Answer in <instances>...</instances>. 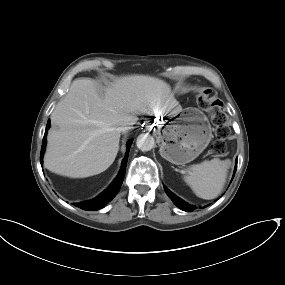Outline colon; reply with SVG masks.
I'll return each instance as SVG.
<instances>
[{
  "mask_svg": "<svg viewBox=\"0 0 285 285\" xmlns=\"http://www.w3.org/2000/svg\"><path fill=\"white\" fill-rule=\"evenodd\" d=\"M199 105L208 111L211 122L217 133V140L213 143L212 148L216 153H223L225 150V121L226 115L222 111V103L212 98V91L205 89L198 98Z\"/></svg>",
  "mask_w": 285,
  "mask_h": 285,
  "instance_id": "5ec220e1",
  "label": "colon"
}]
</instances>
